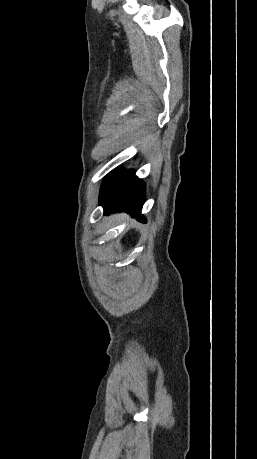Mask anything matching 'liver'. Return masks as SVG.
Masks as SVG:
<instances>
[{
    "label": "liver",
    "instance_id": "1",
    "mask_svg": "<svg viewBox=\"0 0 257 459\" xmlns=\"http://www.w3.org/2000/svg\"><path fill=\"white\" fill-rule=\"evenodd\" d=\"M119 217H120V218H123L124 216H123V215H121V216H119Z\"/></svg>",
    "mask_w": 257,
    "mask_h": 459
}]
</instances>
